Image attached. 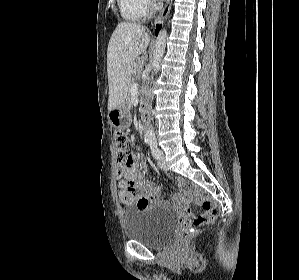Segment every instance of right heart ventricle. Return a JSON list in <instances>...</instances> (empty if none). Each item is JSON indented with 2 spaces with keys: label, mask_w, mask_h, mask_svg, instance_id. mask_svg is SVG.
I'll list each match as a JSON object with an SVG mask.
<instances>
[{
  "label": "right heart ventricle",
  "mask_w": 299,
  "mask_h": 280,
  "mask_svg": "<svg viewBox=\"0 0 299 280\" xmlns=\"http://www.w3.org/2000/svg\"><path fill=\"white\" fill-rule=\"evenodd\" d=\"M120 13L127 21H141L148 15L143 0H117Z\"/></svg>",
  "instance_id": "obj_1"
}]
</instances>
